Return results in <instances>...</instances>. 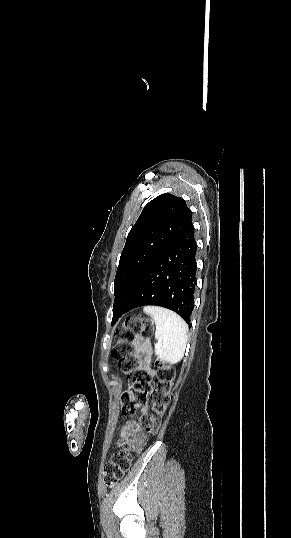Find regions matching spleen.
Instances as JSON below:
<instances>
[{
  "instance_id": "spleen-1",
  "label": "spleen",
  "mask_w": 291,
  "mask_h": 538,
  "mask_svg": "<svg viewBox=\"0 0 291 538\" xmlns=\"http://www.w3.org/2000/svg\"><path fill=\"white\" fill-rule=\"evenodd\" d=\"M144 312L151 315L156 324L155 347L157 357L167 363H177L184 356L188 325L175 312L157 306H146Z\"/></svg>"
}]
</instances>
